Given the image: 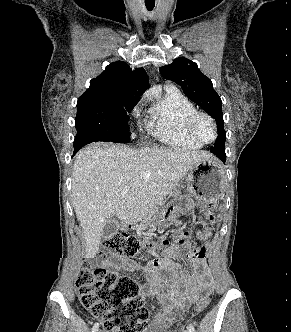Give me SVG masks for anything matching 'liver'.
<instances>
[{"instance_id": "liver-1", "label": "liver", "mask_w": 291, "mask_h": 332, "mask_svg": "<svg viewBox=\"0 0 291 332\" xmlns=\"http://www.w3.org/2000/svg\"><path fill=\"white\" fill-rule=\"evenodd\" d=\"M209 157L205 151L122 144L82 148L72 173V199L83 229L85 258L96 256L110 216L128 224L144 220L152 213L153 200L170 194L198 161Z\"/></svg>"}]
</instances>
